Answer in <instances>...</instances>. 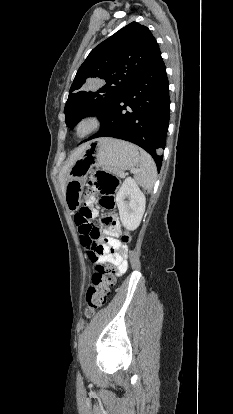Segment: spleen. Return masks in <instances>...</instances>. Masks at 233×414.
I'll use <instances>...</instances> for the list:
<instances>
[{"label":"spleen","instance_id":"spleen-1","mask_svg":"<svg viewBox=\"0 0 233 414\" xmlns=\"http://www.w3.org/2000/svg\"><path fill=\"white\" fill-rule=\"evenodd\" d=\"M141 160L139 171L135 173L136 182L150 192L157 178V168L152 157L144 150H140Z\"/></svg>","mask_w":233,"mask_h":414}]
</instances>
